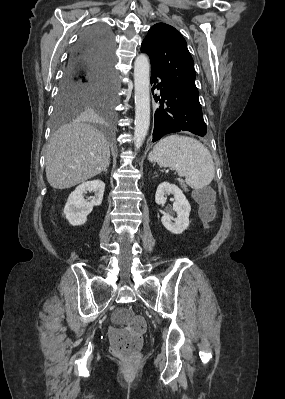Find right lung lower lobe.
Listing matches in <instances>:
<instances>
[{"instance_id":"98d812e1","label":"right lung lower lobe","mask_w":285,"mask_h":399,"mask_svg":"<svg viewBox=\"0 0 285 399\" xmlns=\"http://www.w3.org/2000/svg\"><path fill=\"white\" fill-rule=\"evenodd\" d=\"M64 78L86 84L114 82V37L107 25L96 24L83 32Z\"/></svg>"}]
</instances>
